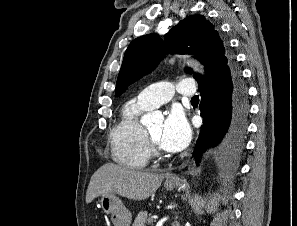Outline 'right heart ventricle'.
Masks as SVG:
<instances>
[{
  "instance_id": "1",
  "label": "right heart ventricle",
  "mask_w": 297,
  "mask_h": 226,
  "mask_svg": "<svg viewBox=\"0 0 297 226\" xmlns=\"http://www.w3.org/2000/svg\"><path fill=\"white\" fill-rule=\"evenodd\" d=\"M148 109L138 98L123 106L110 134L112 157L118 164L136 169L147 165L150 150L140 116Z\"/></svg>"
}]
</instances>
